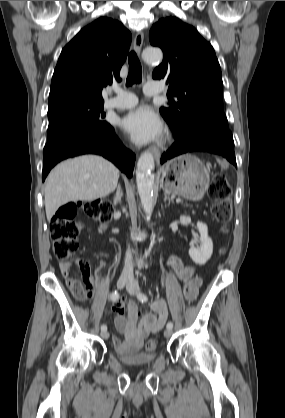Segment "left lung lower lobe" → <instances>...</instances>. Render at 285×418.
<instances>
[{
  "instance_id": "1",
  "label": "left lung lower lobe",
  "mask_w": 285,
  "mask_h": 418,
  "mask_svg": "<svg viewBox=\"0 0 285 418\" xmlns=\"http://www.w3.org/2000/svg\"><path fill=\"white\" fill-rule=\"evenodd\" d=\"M204 151L222 155L236 166L234 141L230 130L216 124H202L185 136L176 139L168 151L163 153L161 164L187 152Z\"/></svg>"
}]
</instances>
